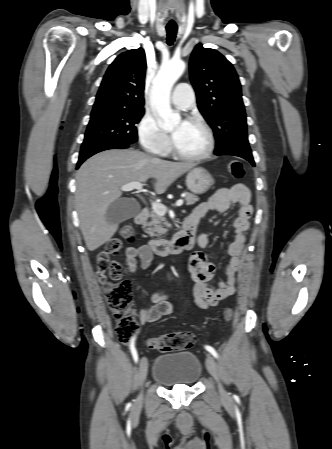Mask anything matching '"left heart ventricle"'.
<instances>
[{"mask_svg": "<svg viewBox=\"0 0 332 449\" xmlns=\"http://www.w3.org/2000/svg\"><path fill=\"white\" fill-rule=\"evenodd\" d=\"M180 125V123H177L173 127V133L179 129ZM174 143L181 152L194 155L205 150L207 139L204 131L198 125L186 123V125L179 131Z\"/></svg>", "mask_w": 332, "mask_h": 449, "instance_id": "1", "label": "left heart ventricle"}]
</instances>
